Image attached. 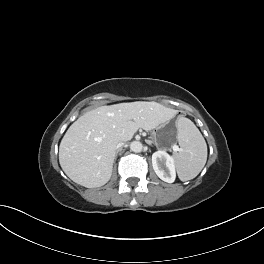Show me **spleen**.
<instances>
[{
    "label": "spleen",
    "instance_id": "obj_1",
    "mask_svg": "<svg viewBox=\"0 0 264 264\" xmlns=\"http://www.w3.org/2000/svg\"><path fill=\"white\" fill-rule=\"evenodd\" d=\"M177 140L180 151L174 154L178 177L181 181L195 178L207 161V144L199 129L188 118L177 121Z\"/></svg>",
    "mask_w": 264,
    "mask_h": 264
}]
</instances>
